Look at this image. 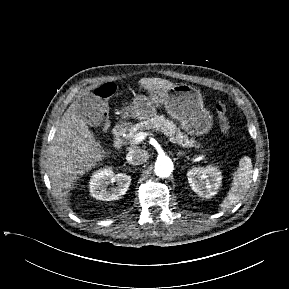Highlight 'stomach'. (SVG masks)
Listing matches in <instances>:
<instances>
[{
  "label": "stomach",
  "mask_w": 289,
  "mask_h": 289,
  "mask_svg": "<svg viewBox=\"0 0 289 289\" xmlns=\"http://www.w3.org/2000/svg\"><path fill=\"white\" fill-rule=\"evenodd\" d=\"M164 105L167 113L180 122L181 128L189 135L207 134L213 125L211 113L204 108L199 90L188 84L158 89L149 96L138 95L125 113L139 120L149 119L156 114V108Z\"/></svg>",
  "instance_id": "1"
}]
</instances>
